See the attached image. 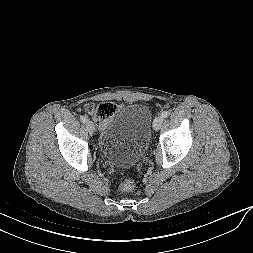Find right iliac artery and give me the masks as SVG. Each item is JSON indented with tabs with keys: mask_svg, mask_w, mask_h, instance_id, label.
<instances>
[{
	"mask_svg": "<svg viewBox=\"0 0 253 253\" xmlns=\"http://www.w3.org/2000/svg\"><path fill=\"white\" fill-rule=\"evenodd\" d=\"M80 121L83 122V123H86L87 122V117L86 116H81Z\"/></svg>",
	"mask_w": 253,
	"mask_h": 253,
	"instance_id": "1",
	"label": "right iliac artery"
}]
</instances>
